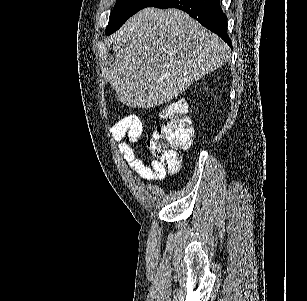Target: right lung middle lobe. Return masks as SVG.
Here are the masks:
<instances>
[{
	"label": "right lung middle lobe",
	"mask_w": 307,
	"mask_h": 301,
	"mask_svg": "<svg viewBox=\"0 0 307 301\" xmlns=\"http://www.w3.org/2000/svg\"><path fill=\"white\" fill-rule=\"evenodd\" d=\"M157 0H117L112 10L109 23L106 28V35H110L118 30L128 18L139 10L149 7Z\"/></svg>",
	"instance_id": "obj_1"
}]
</instances>
